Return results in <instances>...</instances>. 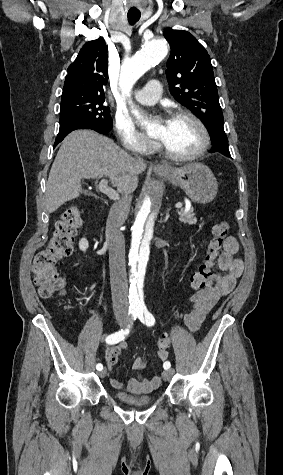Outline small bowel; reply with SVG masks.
Returning <instances> with one entry per match:
<instances>
[{"label": "small bowel", "instance_id": "small-bowel-1", "mask_svg": "<svg viewBox=\"0 0 283 475\" xmlns=\"http://www.w3.org/2000/svg\"><path fill=\"white\" fill-rule=\"evenodd\" d=\"M225 242L227 243V250L222 251L219 260L220 271H222V274H214L215 281L211 284L209 291H200L197 295L194 293L191 295L190 303L192 307L184 314V323L193 333H196L201 328L207 315L214 308L218 300L221 297L229 295L235 289L237 280L243 274L244 262L241 258L235 256L239 250L236 238L229 236ZM125 349V344L107 347L105 361L107 368L111 373L118 364L121 352ZM144 365V358H136L133 362V367L137 371L136 376L125 383L116 378H112L111 385L115 388L127 387L133 391L156 388L161 382V377H142L139 371Z\"/></svg>", "mask_w": 283, "mask_h": 475}]
</instances>
